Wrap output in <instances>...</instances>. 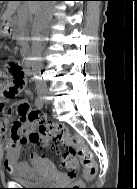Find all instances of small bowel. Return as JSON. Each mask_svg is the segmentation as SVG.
<instances>
[{
    "label": "small bowel",
    "instance_id": "obj_1",
    "mask_svg": "<svg viewBox=\"0 0 137 189\" xmlns=\"http://www.w3.org/2000/svg\"><path fill=\"white\" fill-rule=\"evenodd\" d=\"M3 104H4V99L0 98V112H2ZM23 106H29V105L26 101H22L16 104L14 108L9 109L8 115L3 116L0 119V142L3 145V152H4L3 163L6 171L9 174L14 171H19L20 174L23 175L26 174L29 169V166L26 162L19 161L20 148L25 141L14 139L12 137L11 131L10 134L8 135L9 125H10V115L13 112H17L18 118L16 121H21V123L26 129L31 126V124L26 120L24 114L20 111V108ZM30 158L31 160H36L37 154L31 153Z\"/></svg>",
    "mask_w": 137,
    "mask_h": 189
}]
</instances>
